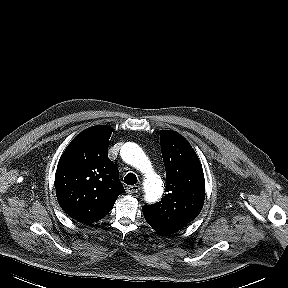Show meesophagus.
Returning a JSON list of instances; mask_svg holds the SVG:
<instances>
[{"label":"esophagus","instance_id":"1","mask_svg":"<svg viewBox=\"0 0 288 288\" xmlns=\"http://www.w3.org/2000/svg\"><path fill=\"white\" fill-rule=\"evenodd\" d=\"M140 190V186L138 185H130L126 188L128 194L137 193Z\"/></svg>","mask_w":288,"mask_h":288}]
</instances>
